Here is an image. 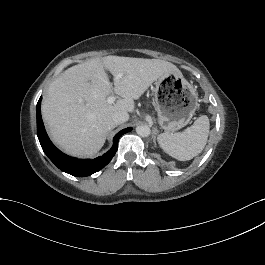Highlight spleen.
<instances>
[{"instance_id":"obj_1","label":"spleen","mask_w":265,"mask_h":265,"mask_svg":"<svg viewBox=\"0 0 265 265\" xmlns=\"http://www.w3.org/2000/svg\"><path fill=\"white\" fill-rule=\"evenodd\" d=\"M208 132V119L202 116L183 132L162 133L158 135L157 140L167 154L180 161H186L203 150L207 142Z\"/></svg>"}]
</instances>
